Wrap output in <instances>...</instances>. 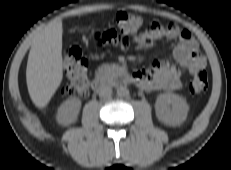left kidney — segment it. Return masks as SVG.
Masks as SVG:
<instances>
[{"mask_svg": "<svg viewBox=\"0 0 231 170\" xmlns=\"http://www.w3.org/2000/svg\"><path fill=\"white\" fill-rule=\"evenodd\" d=\"M188 110L186 101L176 94H160L155 103L157 118L169 126H177L183 123Z\"/></svg>", "mask_w": 231, "mask_h": 170, "instance_id": "left-kidney-1", "label": "left kidney"}]
</instances>
